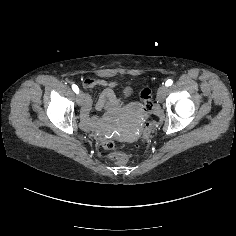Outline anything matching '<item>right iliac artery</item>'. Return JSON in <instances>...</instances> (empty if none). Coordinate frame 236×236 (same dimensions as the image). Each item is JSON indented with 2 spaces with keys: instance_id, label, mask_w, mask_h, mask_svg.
I'll use <instances>...</instances> for the list:
<instances>
[{
  "instance_id": "obj_1",
  "label": "right iliac artery",
  "mask_w": 236,
  "mask_h": 236,
  "mask_svg": "<svg viewBox=\"0 0 236 236\" xmlns=\"http://www.w3.org/2000/svg\"><path fill=\"white\" fill-rule=\"evenodd\" d=\"M72 89H73V91H74L76 94L79 93V88H78L77 85L73 84V85H72Z\"/></svg>"
}]
</instances>
